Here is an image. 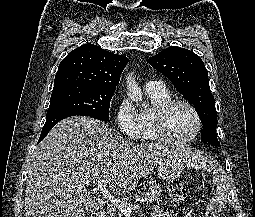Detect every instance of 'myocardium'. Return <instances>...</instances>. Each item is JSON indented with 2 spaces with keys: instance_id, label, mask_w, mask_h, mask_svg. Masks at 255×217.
I'll list each match as a JSON object with an SVG mask.
<instances>
[{
  "instance_id": "f54148a6",
  "label": "myocardium",
  "mask_w": 255,
  "mask_h": 217,
  "mask_svg": "<svg viewBox=\"0 0 255 217\" xmlns=\"http://www.w3.org/2000/svg\"><path fill=\"white\" fill-rule=\"evenodd\" d=\"M179 104L187 106L193 112L197 121V127L194 133L187 138H175L169 133L167 129V116L170 110ZM154 124L158 138L162 141L172 144H186L192 142L199 135L203 126L202 117L198 109L194 106V104L185 99H170L163 103L155 112Z\"/></svg>"
}]
</instances>
